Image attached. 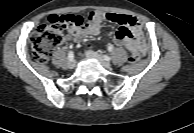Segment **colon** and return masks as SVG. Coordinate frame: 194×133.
<instances>
[{
	"instance_id": "colon-1",
	"label": "colon",
	"mask_w": 194,
	"mask_h": 133,
	"mask_svg": "<svg viewBox=\"0 0 194 133\" xmlns=\"http://www.w3.org/2000/svg\"><path fill=\"white\" fill-rule=\"evenodd\" d=\"M84 25L81 16L75 14L52 15L48 23L39 26L31 41L32 54L39 63L49 60L53 49L60 44L64 32L75 33ZM140 53H131L130 62L135 63L140 58Z\"/></svg>"
}]
</instances>
